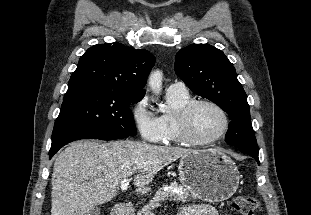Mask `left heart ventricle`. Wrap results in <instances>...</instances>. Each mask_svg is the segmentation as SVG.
Here are the masks:
<instances>
[{"instance_id":"1","label":"left heart ventricle","mask_w":311,"mask_h":215,"mask_svg":"<svg viewBox=\"0 0 311 215\" xmlns=\"http://www.w3.org/2000/svg\"><path fill=\"white\" fill-rule=\"evenodd\" d=\"M223 124L221 114L210 105L198 106L192 115L191 129L194 137L205 140L217 134Z\"/></svg>"}]
</instances>
